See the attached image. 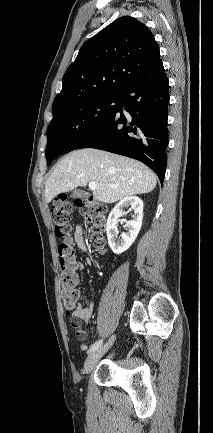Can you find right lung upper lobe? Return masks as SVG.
Instances as JSON below:
<instances>
[{
    "label": "right lung upper lobe",
    "instance_id": "1",
    "mask_svg": "<svg viewBox=\"0 0 213 433\" xmlns=\"http://www.w3.org/2000/svg\"><path fill=\"white\" fill-rule=\"evenodd\" d=\"M160 57L151 31L123 16L88 40L66 70L52 113L98 95H121Z\"/></svg>",
    "mask_w": 213,
    "mask_h": 433
}]
</instances>
